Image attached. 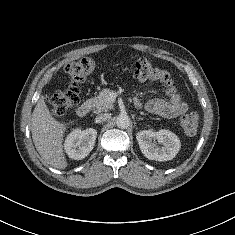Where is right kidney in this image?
I'll list each match as a JSON object with an SVG mask.
<instances>
[{
  "mask_svg": "<svg viewBox=\"0 0 235 235\" xmlns=\"http://www.w3.org/2000/svg\"><path fill=\"white\" fill-rule=\"evenodd\" d=\"M96 138L97 131L93 128L83 131L76 129L72 131L65 140V152L71 159H84L92 151Z\"/></svg>",
  "mask_w": 235,
  "mask_h": 235,
  "instance_id": "obj_1",
  "label": "right kidney"
}]
</instances>
